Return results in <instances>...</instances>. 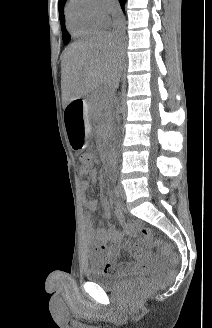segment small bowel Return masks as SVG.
I'll return each instance as SVG.
<instances>
[{
    "label": "small bowel",
    "instance_id": "small-bowel-1",
    "mask_svg": "<svg viewBox=\"0 0 212 328\" xmlns=\"http://www.w3.org/2000/svg\"><path fill=\"white\" fill-rule=\"evenodd\" d=\"M80 174L83 176H88L92 182H96L98 180V172L96 170H94L93 173ZM90 181L83 180L80 183V190L85 206V226L87 235L93 245V262L107 273L124 274L138 269L148 260L150 256L148 247L142 244L132 245L130 242L124 243V235L119 231L116 225L104 227L102 225L96 226L94 224L92 213L97 208V202L88 198ZM101 208L104 215L106 217H110L111 208L107 199L102 201ZM117 210L119 225L123 227L127 236H133L138 229L137 223L135 221L126 220L122 216L121 205H118ZM122 249L132 253L137 262H118V257Z\"/></svg>",
    "mask_w": 212,
    "mask_h": 328
}]
</instances>
